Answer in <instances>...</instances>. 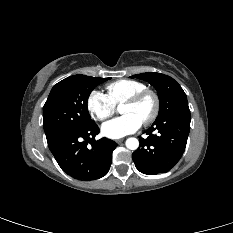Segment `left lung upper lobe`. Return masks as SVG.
<instances>
[{"instance_id": "left-lung-upper-lobe-1", "label": "left lung upper lobe", "mask_w": 233, "mask_h": 233, "mask_svg": "<svg viewBox=\"0 0 233 233\" xmlns=\"http://www.w3.org/2000/svg\"><path fill=\"white\" fill-rule=\"evenodd\" d=\"M131 77L147 81L157 90L160 103L157 119L183 106H188L185 92L170 76L161 73L147 72Z\"/></svg>"}]
</instances>
